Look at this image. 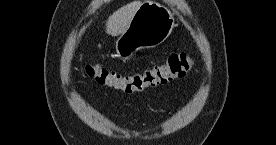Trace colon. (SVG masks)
Listing matches in <instances>:
<instances>
[{"label": "colon", "instance_id": "1", "mask_svg": "<svg viewBox=\"0 0 276 145\" xmlns=\"http://www.w3.org/2000/svg\"><path fill=\"white\" fill-rule=\"evenodd\" d=\"M193 64L194 59L191 54L174 52L168 56L164 63L133 73H120L95 62H88L84 71L88 77L100 85L125 94H133L183 77Z\"/></svg>", "mask_w": 276, "mask_h": 145}]
</instances>
